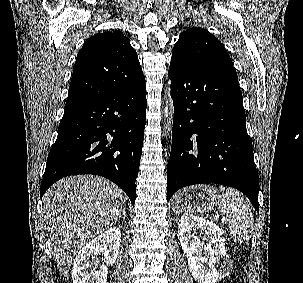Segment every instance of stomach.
Masks as SVG:
<instances>
[{"mask_svg":"<svg viewBox=\"0 0 303 283\" xmlns=\"http://www.w3.org/2000/svg\"><path fill=\"white\" fill-rule=\"evenodd\" d=\"M217 190L209 185H197L180 190L173 199L176 213H204L212 210L220 201Z\"/></svg>","mask_w":303,"mask_h":283,"instance_id":"0dacf381","label":"stomach"}]
</instances>
